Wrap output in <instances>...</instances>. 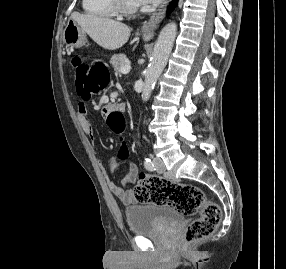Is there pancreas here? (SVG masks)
I'll return each instance as SVG.
<instances>
[{"instance_id":"cf45deb5","label":"pancreas","mask_w":286,"mask_h":269,"mask_svg":"<svg viewBox=\"0 0 286 269\" xmlns=\"http://www.w3.org/2000/svg\"><path fill=\"white\" fill-rule=\"evenodd\" d=\"M110 64L114 68L115 74H120L121 69L128 64V59L125 54L114 55L110 59Z\"/></svg>"}]
</instances>
